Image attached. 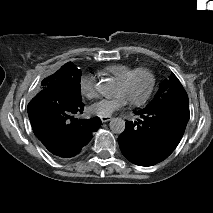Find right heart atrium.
Masks as SVG:
<instances>
[{"mask_svg": "<svg viewBox=\"0 0 213 213\" xmlns=\"http://www.w3.org/2000/svg\"><path fill=\"white\" fill-rule=\"evenodd\" d=\"M82 90L85 94L89 96H94L96 94L95 77H91L90 79H83Z\"/></svg>", "mask_w": 213, "mask_h": 213, "instance_id": "1", "label": "right heart atrium"}]
</instances>
